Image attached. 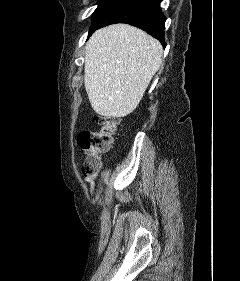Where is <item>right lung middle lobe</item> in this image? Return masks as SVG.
Instances as JSON below:
<instances>
[{"label": "right lung middle lobe", "instance_id": "obj_1", "mask_svg": "<svg viewBox=\"0 0 240 281\" xmlns=\"http://www.w3.org/2000/svg\"><path fill=\"white\" fill-rule=\"evenodd\" d=\"M121 0H99L98 7L93 13V22L90 28V34L100 21L120 2Z\"/></svg>", "mask_w": 240, "mask_h": 281}]
</instances>
